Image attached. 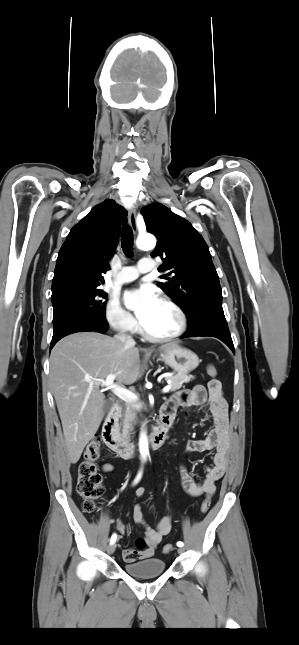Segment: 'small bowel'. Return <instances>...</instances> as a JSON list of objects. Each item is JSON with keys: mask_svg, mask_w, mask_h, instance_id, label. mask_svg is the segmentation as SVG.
<instances>
[{"mask_svg": "<svg viewBox=\"0 0 299 645\" xmlns=\"http://www.w3.org/2000/svg\"><path fill=\"white\" fill-rule=\"evenodd\" d=\"M206 406L213 419V428L204 439L191 440L187 444L189 452H203L215 450L213 464L205 467V477L202 481H196L185 466H181L180 475L185 491L191 496L206 495L212 496L216 491V483L224 476L228 465L230 449V433L228 426V408L223 397L222 390H208L202 385H196L190 390L178 392L174 398L164 406L174 419L177 407L192 409ZM104 472H111L113 466L109 463L102 467ZM145 494L144 488L136 490V496L142 498ZM132 518L135 523L142 525L145 529V547L143 549H125L122 551L123 560L126 563H133L137 560H145L154 556L155 550L163 537L172 530L173 519L170 515L163 517L156 528L150 527L144 520L142 507L136 504L132 509ZM117 529L120 535L126 532L124 524L118 520Z\"/></svg>", "mask_w": 299, "mask_h": 645, "instance_id": "c3829d8e", "label": "small bowel"}]
</instances>
